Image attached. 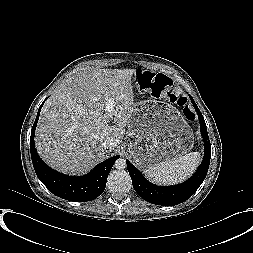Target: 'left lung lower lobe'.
Segmentation results:
<instances>
[{
  "label": "left lung lower lobe",
  "mask_w": 253,
  "mask_h": 253,
  "mask_svg": "<svg viewBox=\"0 0 253 253\" xmlns=\"http://www.w3.org/2000/svg\"><path fill=\"white\" fill-rule=\"evenodd\" d=\"M190 99L199 117L201 135L205 143V153L200 167L189 180L175 186H157L147 181L141 172L127 161V168L132 179L134 190L149 203L164 206L180 204L195 193L206 177L211 158V144L204 117L191 96Z\"/></svg>",
  "instance_id": "1"
}]
</instances>
